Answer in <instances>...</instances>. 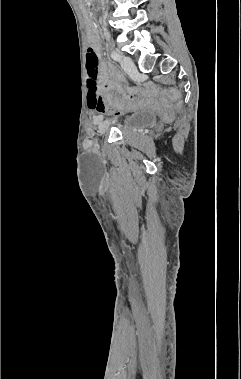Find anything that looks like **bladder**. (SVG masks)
<instances>
[{"mask_svg":"<svg viewBox=\"0 0 241 379\" xmlns=\"http://www.w3.org/2000/svg\"><path fill=\"white\" fill-rule=\"evenodd\" d=\"M157 120V115L155 112L149 109H140L130 115L126 121L123 128V132H129L132 130H139L146 128Z\"/></svg>","mask_w":241,"mask_h":379,"instance_id":"1","label":"bladder"}]
</instances>
